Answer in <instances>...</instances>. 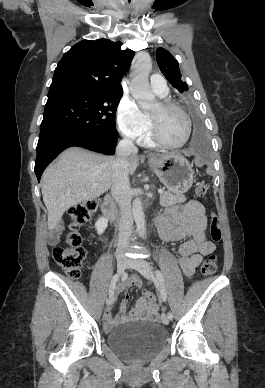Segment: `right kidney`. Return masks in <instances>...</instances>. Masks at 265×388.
Segmentation results:
<instances>
[{
    "mask_svg": "<svg viewBox=\"0 0 265 388\" xmlns=\"http://www.w3.org/2000/svg\"><path fill=\"white\" fill-rule=\"evenodd\" d=\"M107 226H108L107 218H99V220H97V222L95 224L97 234H104Z\"/></svg>",
    "mask_w": 265,
    "mask_h": 388,
    "instance_id": "1",
    "label": "right kidney"
}]
</instances>
